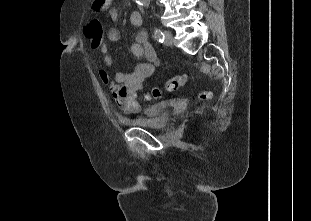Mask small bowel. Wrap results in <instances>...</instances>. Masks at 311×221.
Segmentation results:
<instances>
[{
  "mask_svg": "<svg viewBox=\"0 0 311 221\" xmlns=\"http://www.w3.org/2000/svg\"><path fill=\"white\" fill-rule=\"evenodd\" d=\"M119 14V8H109V15L112 19H117ZM130 19L133 25L137 26L142 23V15L138 11L132 12ZM87 28L88 26L86 27V34ZM107 37L110 42H116L120 37L119 31L114 28L110 29ZM100 51L103 55L104 65L112 67L114 60L110 54L109 45H103ZM131 51L136 58L145 59L144 62L137 63L132 71L117 72L114 80L110 78L105 70L99 72L100 79L108 87L113 101L126 113L139 111L138 94L143 88L144 80L152 75L158 63L156 51L149 42L147 34L143 31L137 33Z\"/></svg>",
  "mask_w": 311,
  "mask_h": 221,
  "instance_id": "small-bowel-1",
  "label": "small bowel"
}]
</instances>
